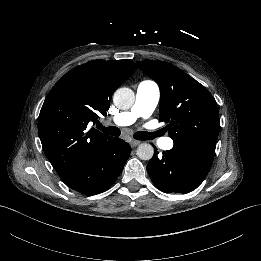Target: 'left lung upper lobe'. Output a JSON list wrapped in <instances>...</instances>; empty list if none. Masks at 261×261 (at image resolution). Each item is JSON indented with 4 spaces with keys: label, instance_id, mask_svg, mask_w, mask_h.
Listing matches in <instances>:
<instances>
[{
    "label": "left lung upper lobe",
    "instance_id": "5c2ea615",
    "mask_svg": "<svg viewBox=\"0 0 261 261\" xmlns=\"http://www.w3.org/2000/svg\"><path fill=\"white\" fill-rule=\"evenodd\" d=\"M160 87V121L174 144H199L215 150L219 111L211 93L178 67L164 62H137Z\"/></svg>",
    "mask_w": 261,
    "mask_h": 261
}]
</instances>
